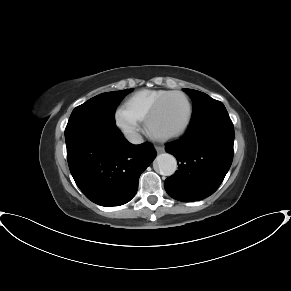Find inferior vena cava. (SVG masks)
<instances>
[{"label": "inferior vena cava", "instance_id": "1", "mask_svg": "<svg viewBox=\"0 0 291 291\" xmlns=\"http://www.w3.org/2000/svg\"><path fill=\"white\" fill-rule=\"evenodd\" d=\"M128 140L133 144H141L143 143L142 136L137 132H132L127 136Z\"/></svg>", "mask_w": 291, "mask_h": 291}]
</instances>
